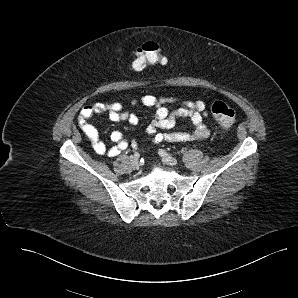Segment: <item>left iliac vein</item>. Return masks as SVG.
Instances as JSON below:
<instances>
[{"label":"left iliac vein","mask_w":298,"mask_h":298,"mask_svg":"<svg viewBox=\"0 0 298 298\" xmlns=\"http://www.w3.org/2000/svg\"><path fill=\"white\" fill-rule=\"evenodd\" d=\"M162 161L165 164L171 165V166H175L177 164V160L173 157H162Z\"/></svg>","instance_id":"left-iliac-vein-1"}]
</instances>
